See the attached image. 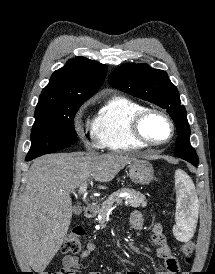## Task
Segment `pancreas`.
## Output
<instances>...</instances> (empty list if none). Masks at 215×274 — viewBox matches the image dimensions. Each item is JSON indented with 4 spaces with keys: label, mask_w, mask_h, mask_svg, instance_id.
Wrapping results in <instances>:
<instances>
[{
    "label": "pancreas",
    "mask_w": 215,
    "mask_h": 274,
    "mask_svg": "<svg viewBox=\"0 0 215 274\" xmlns=\"http://www.w3.org/2000/svg\"><path fill=\"white\" fill-rule=\"evenodd\" d=\"M121 193H128L129 197L126 199L127 200V206H131L134 208H137L139 206H146L147 202H146V198L143 194H141L140 192H137L134 189H129V188H123L121 190H118L114 193H112L108 199H106L102 205L101 208L99 209V216L100 218L97 219L98 223L100 224H104L106 221V218L110 212V210L112 209L113 205L116 203L121 202V198H119V194Z\"/></svg>",
    "instance_id": "cf45deb5"
}]
</instances>
